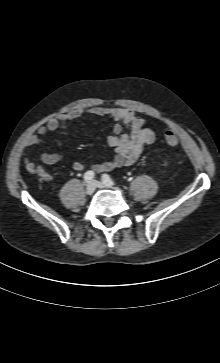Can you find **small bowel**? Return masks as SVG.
Here are the masks:
<instances>
[{"label":"small bowel","instance_id":"small-bowel-1","mask_svg":"<svg viewBox=\"0 0 220 363\" xmlns=\"http://www.w3.org/2000/svg\"><path fill=\"white\" fill-rule=\"evenodd\" d=\"M88 114L98 117H110L113 122V135L107 139L108 145L114 150V158L101 164L91 166L95 172L110 171L116 168L134 164L140 157L143 149L153 144L155 133L147 127L144 118L137 116L135 112L128 108H106L93 107L88 109L78 108L64 114L60 119L52 118L28 140L27 147L36 150L43 142L47 132L58 129H66V122L76 120ZM123 126L130 129V134L123 133ZM39 157L42 163L52 165L60 160L58 153L40 152ZM26 169L39 176L43 181L51 182L53 176L40 164L32 163L24 159ZM75 171H82L85 165L76 161L72 164Z\"/></svg>","mask_w":220,"mask_h":363}]
</instances>
